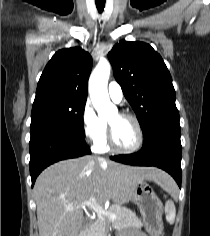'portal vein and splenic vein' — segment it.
<instances>
[{
    "label": "portal vein and splenic vein",
    "mask_w": 210,
    "mask_h": 236,
    "mask_svg": "<svg viewBox=\"0 0 210 236\" xmlns=\"http://www.w3.org/2000/svg\"><path fill=\"white\" fill-rule=\"evenodd\" d=\"M85 206L92 207L100 216H105L108 219H112V220L116 219V215L111 214L108 211H105L103 207H101L99 204L92 203V202H84L79 205L69 206L68 208L69 209H74L78 207L84 208Z\"/></svg>",
    "instance_id": "18ae733b"
}]
</instances>
